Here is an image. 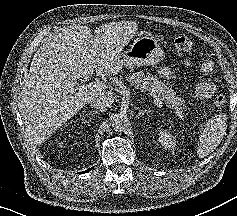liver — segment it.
I'll list each match as a JSON object with an SVG mask.
<instances>
[{
	"instance_id": "1",
	"label": "liver",
	"mask_w": 237,
	"mask_h": 216,
	"mask_svg": "<svg viewBox=\"0 0 237 216\" xmlns=\"http://www.w3.org/2000/svg\"><path fill=\"white\" fill-rule=\"evenodd\" d=\"M93 42L91 29L73 25L51 36L37 51L20 96L28 136L43 142L62 128L99 91L114 98L121 61L113 41ZM95 74L102 79L77 87Z\"/></svg>"
}]
</instances>
